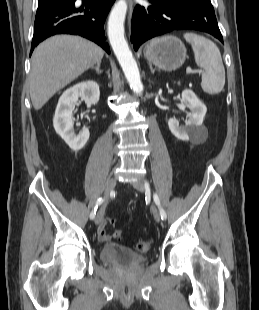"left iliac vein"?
I'll return each mask as SVG.
<instances>
[{"label":"left iliac vein","instance_id":"left-iliac-vein-1","mask_svg":"<svg viewBox=\"0 0 259 310\" xmlns=\"http://www.w3.org/2000/svg\"><path fill=\"white\" fill-rule=\"evenodd\" d=\"M133 187L140 191V192H144L145 191V180L144 179H139L137 181H134L132 183ZM152 214H153V217L154 219L157 221V222H160L161 218H160V214L158 212V210L156 209V207H153L152 208Z\"/></svg>","mask_w":259,"mask_h":310}]
</instances>
